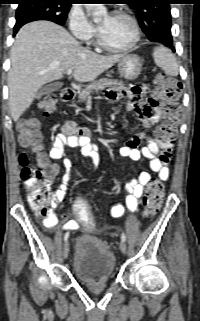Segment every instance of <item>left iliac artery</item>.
Segmentation results:
<instances>
[{
	"mask_svg": "<svg viewBox=\"0 0 200 321\" xmlns=\"http://www.w3.org/2000/svg\"><path fill=\"white\" fill-rule=\"evenodd\" d=\"M121 239H122V241H123V242H125V241H126V235H125V233H122V235H121Z\"/></svg>",
	"mask_w": 200,
	"mask_h": 321,
	"instance_id": "obj_1",
	"label": "left iliac artery"
}]
</instances>
